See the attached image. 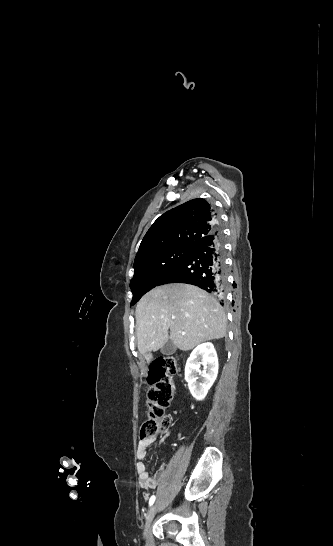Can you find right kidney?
I'll list each match as a JSON object with an SVG mask.
<instances>
[{"label": "right kidney", "instance_id": "ca27d5eb", "mask_svg": "<svg viewBox=\"0 0 333 546\" xmlns=\"http://www.w3.org/2000/svg\"><path fill=\"white\" fill-rule=\"evenodd\" d=\"M202 359L200 363L199 359ZM200 364L204 365L205 370L199 371ZM203 377L202 382H197V374ZM218 374V358L214 346L211 343H203L197 346L185 366V380L188 383L189 390L196 400H203L210 387L213 385Z\"/></svg>", "mask_w": 333, "mask_h": 546}]
</instances>
